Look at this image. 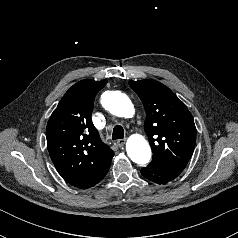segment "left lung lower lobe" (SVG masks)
<instances>
[{
    "mask_svg": "<svg viewBox=\"0 0 238 238\" xmlns=\"http://www.w3.org/2000/svg\"><path fill=\"white\" fill-rule=\"evenodd\" d=\"M182 171L183 168L151 161L147 167L141 169V174L150 181L158 184H166L175 179Z\"/></svg>",
    "mask_w": 238,
    "mask_h": 238,
    "instance_id": "left-lung-lower-lobe-1",
    "label": "left lung lower lobe"
}]
</instances>
